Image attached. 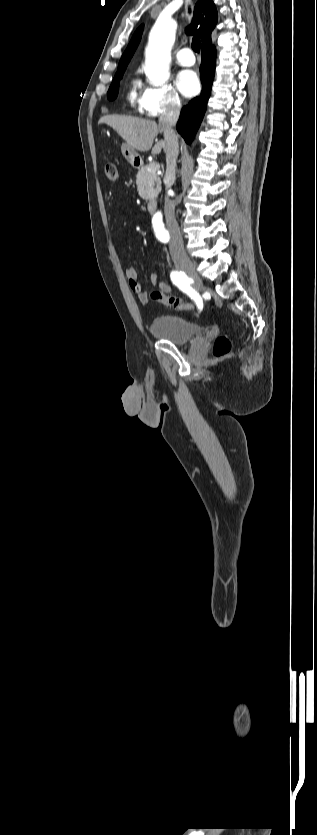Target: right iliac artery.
I'll use <instances>...</instances> for the list:
<instances>
[{
  "instance_id": "1",
  "label": "right iliac artery",
  "mask_w": 317,
  "mask_h": 835,
  "mask_svg": "<svg viewBox=\"0 0 317 835\" xmlns=\"http://www.w3.org/2000/svg\"><path fill=\"white\" fill-rule=\"evenodd\" d=\"M171 280L172 282L184 293H186L191 299L194 300L198 308L201 310L203 308V302L200 295L190 286V281L187 275L183 271H172L171 272Z\"/></svg>"
}]
</instances>
